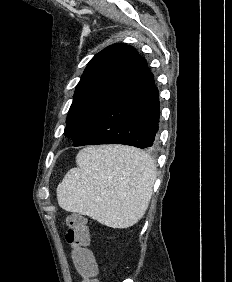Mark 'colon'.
Masks as SVG:
<instances>
[{"label":"colon","instance_id":"colon-1","mask_svg":"<svg viewBox=\"0 0 232 282\" xmlns=\"http://www.w3.org/2000/svg\"><path fill=\"white\" fill-rule=\"evenodd\" d=\"M66 223L68 230L65 235L67 244L71 247V256L82 282H99L96 279L97 265L94 255L89 249L90 233L85 217L70 214Z\"/></svg>","mask_w":232,"mask_h":282}]
</instances>
